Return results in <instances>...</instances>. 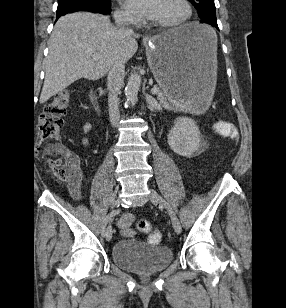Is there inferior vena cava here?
<instances>
[{"label": "inferior vena cava", "mask_w": 286, "mask_h": 308, "mask_svg": "<svg viewBox=\"0 0 286 308\" xmlns=\"http://www.w3.org/2000/svg\"><path fill=\"white\" fill-rule=\"evenodd\" d=\"M116 23L119 28L127 33H133V30L124 26L125 19L118 18ZM125 77V65L121 61H116L112 64L107 78V89L109 92L108 106L110 122L113 127L118 125L120 119V113L118 108V95L124 84Z\"/></svg>", "instance_id": "602c4592"}]
</instances>
